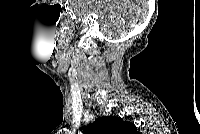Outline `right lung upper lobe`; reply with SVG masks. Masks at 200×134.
<instances>
[{
	"label": "right lung upper lobe",
	"mask_w": 200,
	"mask_h": 134,
	"mask_svg": "<svg viewBox=\"0 0 200 134\" xmlns=\"http://www.w3.org/2000/svg\"><path fill=\"white\" fill-rule=\"evenodd\" d=\"M136 126L120 117H100L84 129V134H135Z\"/></svg>",
	"instance_id": "obj_1"
}]
</instances>
